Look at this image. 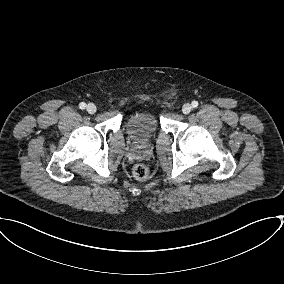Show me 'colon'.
<instances>
[{
	"label": "colon",
	"instance_id": "1",
	"mask_svg": "<svg viewBox=\"0 0 284 284\" xmlns=\"http://www.w3.org/2000/svg\"><path fill=\"white\" fill-rule=\"evenodd\" d=\"M132 173L138 180H144L149 176L148 168L143 164H137L133 167Z\"/></svg>",
	"mask_w": 284,
	"mask_h": 284
}]
</instances>
